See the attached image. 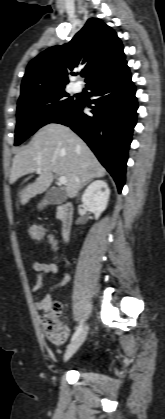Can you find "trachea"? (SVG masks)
Returning a JSON list of instances; mask_svg holds the SVG:
<instances>
[{
  "label": "trachea",
  "instance_id": "1",
  "mask_svg": "<svg viewBox=\"0 0 165 419\" xmlns=\"http://www.w3.org/2000/svg\"><path fill=\"white\" fill-rule=\"evenodd\" d=\"M85 75H86V73H85V72H82V73H81V76H82V77H84Z\"/></svg>",
  "mask_w": 165,
  "mask_h": 419
}]
</instances>
